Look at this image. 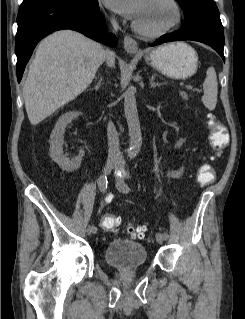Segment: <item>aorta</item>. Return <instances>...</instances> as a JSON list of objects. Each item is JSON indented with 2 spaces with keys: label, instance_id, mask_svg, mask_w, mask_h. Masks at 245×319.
<instances>
[{
  "label": "aorta",
  "instance_id": "762f6f07",
  "mask_svg": "<svg viewBox=\"0 0 245 319\" xmlns=\"http://www.w3.org/2000/svg\"><path fill=\"white\" fill-rule=\"evenodd\" d=\"M124 112L130 136L128 156L134 158L141 149L142 134L137 112L135 90L132 86L128 87L124 93Z\"/></svg>",
  "mask_w": 245,
  "mask_h": 319
}]
</instances>
